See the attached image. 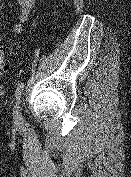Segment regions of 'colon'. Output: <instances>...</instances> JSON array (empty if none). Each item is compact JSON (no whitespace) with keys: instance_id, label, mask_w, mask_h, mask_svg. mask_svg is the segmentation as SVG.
Returning a JSON list of instances; mask_svg holds the SVG:
<instances>
[{"instance_id":"5ec220e1","label":"colon","mask_w":131,"mask_h":177,"mask_svg":"<svg viewBox=\"0 0 131 177\" xmlns=\"http://www.w3.org/2000/svg\"><path fill=\"white\" fill-rule=\"evenodd\" d=\"M9 64L6 59L5 49L2 44H0V71L4 72L8 69Z\"/></svg>"}]
</instances>
